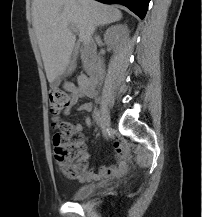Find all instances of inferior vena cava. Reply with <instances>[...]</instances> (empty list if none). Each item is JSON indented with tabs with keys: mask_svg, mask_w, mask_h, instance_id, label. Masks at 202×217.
<instances>
[{
	"mask_svg": "<svg viewBox=\"0 0 202 217\" xmlns=\"http://www.w3.org/2000/svg\"><path fill=\"white\" fill-rule=\"evenodd\" d=\"M103 73H104L103 60L99 59V61H98V78L100 81L103 79Z\"/></svg>",
	"mask_w": 202,
	"mask_h": 217,
	"instance_id": "inferior-vena-cava-1",
	"label": "inferior vena cava"
}]
</instances>
